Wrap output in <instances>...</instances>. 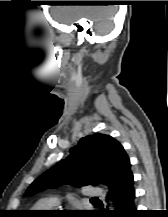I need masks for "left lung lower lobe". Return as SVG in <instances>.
Instances as JSON below:
<instances>
[{
	"label": "left lung lower lobe",
	"mask_w": 168,
	"mask_h": 217,
	"mask_svg": "<svg viewBox=\"0 0 168 217\" xmlns=\"http://www.w3.org/2000/svg\"><path fill=\"white\" fill-rule=\"evenodd\" d=\"M127 174L123 182L117 187L111 189L110 197L115 199L119 210L107 212V214L115 217H134L135 210V190L133 186V174L131 172V165L128 164Z\"/></svg>",
	"instance_id": "obj_1"
}]
</instances>
